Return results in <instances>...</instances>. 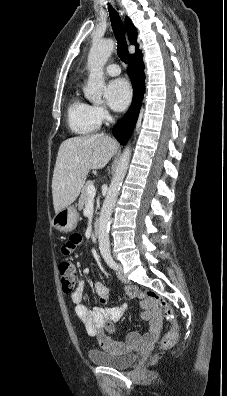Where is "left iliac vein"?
Wrapping results in <instances>:
<instances>
[{
	"mask_svg": "<svg viewBox=\"0 0 227 396\" xmlns=\"http://www.w3.org/2000/svg\"><path fill=\"white\" fill-rule=\"evenodd\" d=\"M117 277L122 281V282H128V279L126 277V275L123 272V268L121 265H118V269H117Z\"/></svg>",
	"mask_w": 227,
	"mask_h": 396,
	"instance_id": "4c4485c4",
	"label": "left iliac vein"
}]
</instances>
